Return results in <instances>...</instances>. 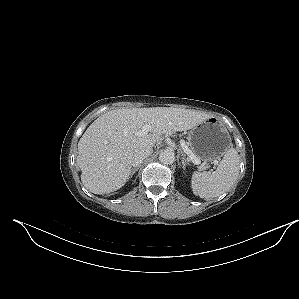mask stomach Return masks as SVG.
Masks as SVG:
<instances>
[{"label": "stomach", "mask_w": 299, "mask_h": 299, "mask_svg": "<svg viewBox=\"0 0 299 299\" xmlns=\"http://www.w3.org/2000/svg\"><path fill=\"white\" fill-rule=\"evenodd\" d=\"M189 146L204 161L221 158L231 147V137L226 127L215 117H210L188 133Z\"/></svg>", "instance_id": "stomach-1"}]
</instances>
